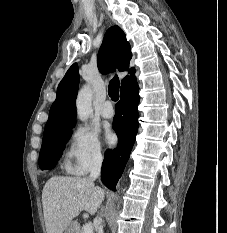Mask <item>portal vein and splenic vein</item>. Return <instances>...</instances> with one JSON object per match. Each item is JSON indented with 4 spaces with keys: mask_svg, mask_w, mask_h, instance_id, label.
<instances>
[{
    "mask_svg": "<svg viewBox=\"0 0 227 233\" xmlns=\"http://www.w3.org/2000/svg\"><path fill=\"white\" fill-rule=\"evenodd\" d=\"M83 233H93V227L90 223H87L82 228Z\"/></svg>",
    "mask_w": 227,
    "mask_h": 233,
    "instance_id": "1",
    "label": "portal vein and splenic vein"
}]
</instances>
